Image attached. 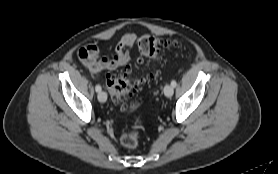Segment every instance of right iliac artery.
<instances>
[{
	"mask_svg": "<svg viewBox=\"0 0 278 174\" xmlns=\"http://www.w3.org/2000/svg\"><path fill=\"white\" fill-rule=\"evenodd\" d=\"M95 90H96V92H100L101 91V86L100 85H96Z\"/></svg>",
	"mask_w": 278,
	"mask_h": 174,
	"instance_id": "obj_1",
	"label": "right iliac artery"
}]
</instances>
